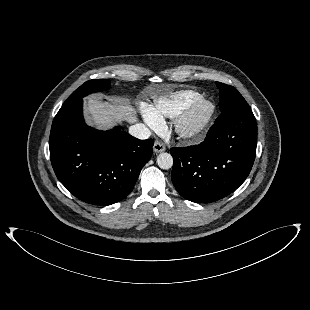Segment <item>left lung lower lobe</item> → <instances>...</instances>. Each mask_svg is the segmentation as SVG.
<instances>
[{
    "mask_svg": "<svg viewBox=\"0 0 310 310\" xmlns=\"http://www.w3.org/2000/svg\"><path fill=\"white\" fill-rule=\"evenodd\" d=\"M256 144L257 127L250 108L218 117L199 145L171 148L176 190L196 203L224 198L249 175Z\"/></svg>",
    "mask_w": 310,
    "mask_h": 310,
    "instance_id": "0a47b994",
    "label": "left lung lower lobe"
}]
</instances>
